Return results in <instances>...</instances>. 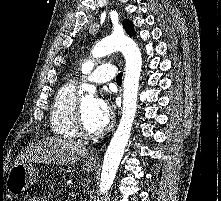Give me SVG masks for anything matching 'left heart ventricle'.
Segmentation results:
<instances>
[{"label":"left heart ventricle","mask_w":221,"mask_h":201,"mask_svg":"<svg viewBox=\"0 0 221 201\" xmlns=\"http://www.w3.org/2000/svg\"><path fill=\"white\" fill-rule=\"evenodd\" d=\"M84 123L91 132H97L107 123L99 114L96 106V99L93 97L82 100Z\"/></svg>","instance_id":"obj_1"}]
</instances>
